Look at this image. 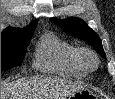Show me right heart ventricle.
<instances>
[{"label": "right heart ventricle", "instance_id": "obj_1", "mask_svg": "<svg viewBox=\"0 0 115 99\" xmlns=\"http://www.w3.org/2000/svg\"><path fill=\"white\" fill-rule=\"evenodd\" d=\"M32 66L42 73L77 79L84 78L88 73L81 60L80 49L51 32L39 40Z\"/></svg>", "mask_w": 115, "mask_h": 99}]
</instances>
